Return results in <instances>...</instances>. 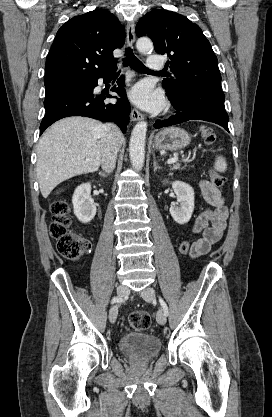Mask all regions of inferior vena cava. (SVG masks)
<instances>
[{"instance_id":"1","label":"inferior vena cava","mask_w":272,"mask_h":417,"mask_svg":"<svg viewBox=\"0 0 272 417\" xmlns=\"http://www.w3.org/2000/svg\"><path fill=\"white\" fill-rule=\"evenodd\" d=\"M102 136V169L110 173L116 165L117 153L120 147V129L111 123L105 124L103 127Z\"/></svg>"}]
</instances>
